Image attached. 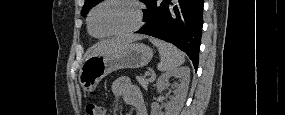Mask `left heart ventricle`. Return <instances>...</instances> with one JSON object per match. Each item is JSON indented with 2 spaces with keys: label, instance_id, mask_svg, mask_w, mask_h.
I'll list each match as a JSON object with an SVG mask.
<instances>
[{
  "label": "left heart ventricle",
  "instance_id": "obj_1",
  "mask_svg": "<svg viewBox=\"0 0 285 115\" xmlns=\"http://www.w3.org/2000/svg\"><path fill=\"white\" fill-rule=\"evenodd\" d=\"M91 23L97 34L113 33L133 27L135 15L128 4L108 2L94 12Z\"/></svg>",
  "mask_w": 285,
  "mask_h": 115
}]
</instances>
